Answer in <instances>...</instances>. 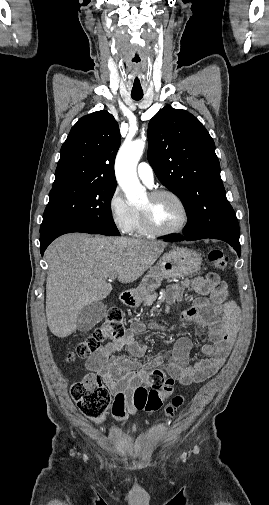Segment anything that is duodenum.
<instances>
[{
	"label": "duodenum",
	"instance_id": "obj_1",
	"mask_svg": "<svg viewBox=\"0 0 269 505\" xmlns=\"http://www.w3.org/2000/svg\"><path fill=\"white\" fill-rule=\"evenodd\" d=\"M119 300L126 306L133 307L136 305V297L132 292H124L120 294Z\"/></svg>",
	"mask_w": 269,
	"mask_h": 505
}]
</instances>
